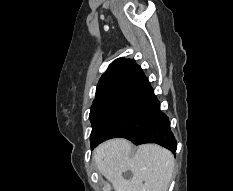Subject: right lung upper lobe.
<instances>
[{"label":"right lung upper lobe","mask_w":233,"mask_h":191,"mask_svg":"<svg viewBox=\"0 0 233 191\" xmlns=\"http://www.w3.org/2000/svg\"><path fill=\"white\" fill-rule=\"evenodd\" d=\"M142 69L131 59L114 60L100 78L94 102L126 93L141 77Z\"/></svg>","instance_id":"obj_1"}]
</instances>
